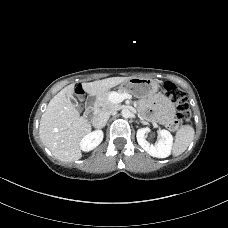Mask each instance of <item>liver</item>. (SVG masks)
Returning a JSON list of instances; mask_svg holds the SVG:
<instances>
[{
  "instance_id": "1",
  "label": "liver",
  "mask_w": 228,
  "mask_h": 228,
  "mask_svg": "<svg viewBox=\"0 0 228 228\" xmlns=\"http://www.w3.org/2000/svg\"><path fill=\"white\" fill-rule=\"evenodd\" d=\"M130 77H111L83 83L82 89L91 96H101ZM75 84L57 93L41 116L39 135L42 143L60 161L72 162L82 157L80 142L91 131V124L81 117L69 97Z\"/></svg>"
}]
</instances>
